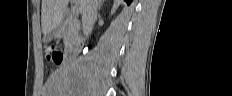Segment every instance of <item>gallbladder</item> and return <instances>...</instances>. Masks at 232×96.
Listing matches in <instances>:
<instances>
[{
	"label": "gallbladder",
	"instance_id": "1",
	"mask_svg": "<svg viewBox=\"0 0 232 96\" xmlns=\"http://www.w3.org/2000/svg\"><path fill=\"white\" fill-rule=\"evenodd\" d=\"M66 17H67V11L63 16V19L59 22V24L52 31H50L44 36V42L46 43L50 42L57 35V33L61 30Z\"/></svg>",
	"mask_w": 232,
	"mask_h": 96
}]
</instances>
